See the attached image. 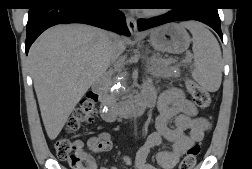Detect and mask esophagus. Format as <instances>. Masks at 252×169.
Returning <instances> with one entry per match:
<instances>
[{"instance_id":"34e87169","label":"esophagus","mask_w":252,"mask_h":169,"mask_svg":"<svg viewBox=\"0 0 252 169\" xmlns=\"http://www.w3.org/2000/svg\"><path fill=\"white\" fill-rule=\"evenodd\" d=\"M126 22H127V26H128V29H129L130 33L131 34H136L137 33L136 19L131 15H127L126 16Z\"/></svg>"}]
</instances>
